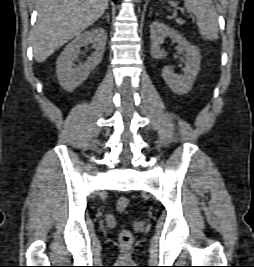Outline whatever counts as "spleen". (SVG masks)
<instances>
[{
  "mask_svg": "<svg viewBox=\"0 0 254 267\" xmlns=\"http://www.w3.org/2000/svg\"><path fill=\"white\" fill-rule=\"evenodd\" d=\"M184 7L196 16L199 32L204 39H218V15L212 0H184Z\"/></svg>",
  "mask_w": 254,
  "mask_h": 267,
  "instance_id": "1",
  "label": "spleen"
}]
</instances>
